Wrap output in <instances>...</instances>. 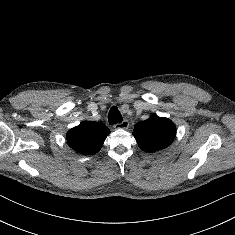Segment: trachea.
I'll list each match as a JSON object with an SVG mask.
<instances>
[{"label": "trachea", "instance_id": "3493384b", "mask_svg": "<svg viewBox=\"0 0 235 235\" xmlns=\"http://www.w3.org/2000/svg\"><path fill=\"white\" fill-rule=\"evenodd\" d=\"M123 120L122 115L117 107H112L108 114V121L110 124L121 123Z\"/></svg>", "mask_w": 235, "mask_h": 235}]
</instances>
